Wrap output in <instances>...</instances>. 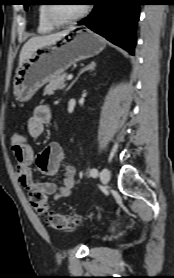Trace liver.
<instances>
[{"label":"liver","mask_w":174,"mask_h":278,"mask_svg":"<svg viewBox=\"0 0 174 278\" xmlns=\"http://www.w3.org/2000/svg\"><path fill=\"white\" fill-rule=\"evenodd\" d=\"M73 30H74V28L70 27L69 29L58 32V33L30 38L23 45V47L21 49V52L19 55V65L22 64L36 49L56 42L61 37L70 33Z\"/></svg>","instance_id":"liver-1"}]
</instances>
